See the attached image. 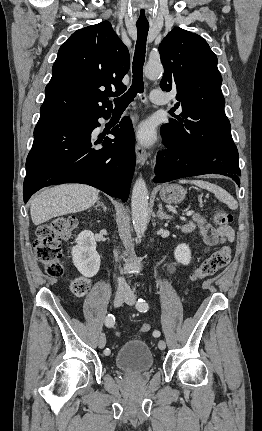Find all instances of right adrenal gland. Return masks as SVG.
Returning <instances> with one entry per match:
<instances>
[{
	"instance_id": "obj_1",
	"label": "right adrenal gland",
	"mask_w": 262,
	"mask_h": 431,
	"mask_svg": "<svg viewBox=\"0 0 262 431\" xmlns=\"http://www.w3.org/2000/svg\"><path fill=\"white\" fill-rule=\"evenodd\" d=\"M98 206H102V208H103V210L106 212V210H107V208H106V206L103 204V202H101V201H97V205L95 206V208H97Z\"/></svg>"
}]
</instances>
